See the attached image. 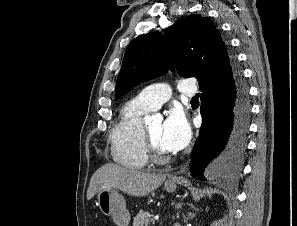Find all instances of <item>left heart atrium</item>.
I'll use <instances>...</instances> for the list:
<instances>
[{"mask_svg": "<svg viewBox=\"0 0 297 226\" xmlns=\"http://www.w3.org/2000/svg\"><path fill=\"white\" fill-rule=\"evenodd\" d=\"M189 138V127L183 115L178 111L171 112L162 127V148L167 152H177L187 145Z\"/></svg>", "mask_w": 297, "mask_h": 226, "instance_id": "obj_1", "label": "left heart atrium"}]
</instances>
